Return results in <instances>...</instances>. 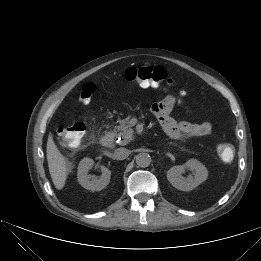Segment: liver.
<instances>
[{
    "instance_id": "obj_1",
    "label": "liver",
    "mask_w": 261,
    "mask_h": 261,
    "mask_svg": "<svg viewBox=\"0 0 261 261\" xmlns=\"http://www.w3.org/2000/svg\"><path fill=\"white\" fill-rule=\"evenodd\" d=\"M46 153L53 184L56 189L61 190L65 185L68 175L67 159L58 150L52 135L48 137Z\"/></svg>"
}]
</instances>
